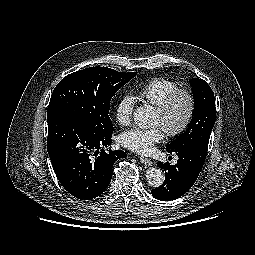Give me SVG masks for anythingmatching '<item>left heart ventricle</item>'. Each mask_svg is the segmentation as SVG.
Wrapping results in <instances>:
<instances>
[{
  "label": "left heart ventricle",
  "mask_w": 255,
  "mask_h": 255,
  "mask_svg": "<svg viewBox=\"0 0 255 255\" xmlns=\"http://www.w3.org/2000/svg\"><path fill=\"white\" fill-rule=\"evenodd\" d=\"M187 110V99L184 96H179L173 103L166 118H162L157 111L155 112L154 124L160 125L162 128L165 126L176 127L183 121Z\"/></svg>",
  "instance_id": "b2bd125f"
}]
</instances>
